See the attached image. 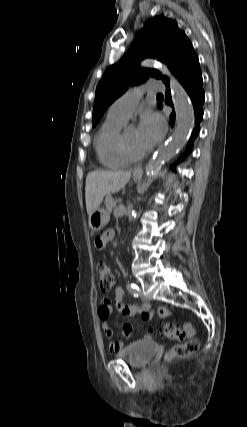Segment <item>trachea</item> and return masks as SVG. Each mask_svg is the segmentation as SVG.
<instances>
[{"mask_svg":"<svg viewBox=\"0 0 247 427\" xmlns=\"http://www.w3.org/2000/svg\"><path fill=\"white\" fill-rule=\"evenodd\" d=\"M157 96H158V97H161V96H162V94H158Z\"/></svg>","mask_w":247,"mask_h":427,"instance_id":"obj_1","label":"trachea"}]
</instances>
